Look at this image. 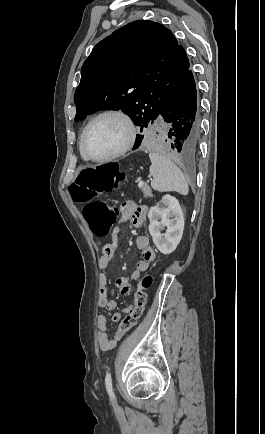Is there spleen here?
<instances>
[{
	"mask_svg": "<svg viewBox=\"0 0 265 434\" xmlns=\"http://www.w3.org/2000/svg\"><path fill=\"white\" fill-rule=\"evenodd\" d=\"M149 158L151 160L150 176L154 178L151 182L153 190L178 192V194L187 196L189 188L183 172L162 154L150 152Z\"/></svg>",
	"mask_w": 265,
	"mask_h": 434,
	"instance_id": "3e777b00",
	"label": "spleen"
}]
</instances>
